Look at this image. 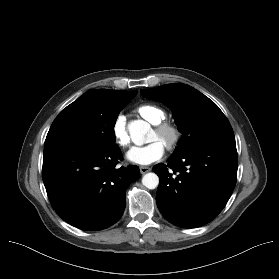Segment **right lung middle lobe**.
I'll return each instance as SVG.
<instances>
[{"label": "right lung middle lobe", "mask_w": 279, "mask_h": 279, "mask_svg": "<svg viewBox=\"0 0 279 279\" xmlns=\"http://www.w3.org/2000/svg\"><path fill=\"white\" fill-rule=\"evenodd\" d=\"M132 98L103 100L88 92L62 110L52 123L44 149L79 144L101 151L117 146L114 126Z\"/></svg>", "instance_id": "dd1d6c3e"}]
</instances>
